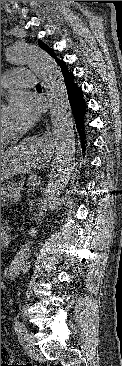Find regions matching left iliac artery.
I'll return each instance as SVG.
<instances>
[{
	"label": "left iliac artery",
	"instance_id": "left-iliac-artery-1",
	"mask_svg": "<svg viewBox=\"0 0 122 366\" xmlns=\"http://www.w3.org/2000/svg\"><path fill=\"white\" fill-rule=\"evenodd\" d=\"M14 328L15 330L20 334V335H24V325L23 323L17 321L14 323Z\"/></svg>",
	"mask_w": 122,
	"mask_h": 366
}]
</instances>
